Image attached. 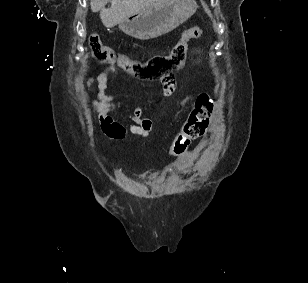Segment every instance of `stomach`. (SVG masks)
<instances>
[{"label":"stomach","mask_w":308,"mask_h":283,"mask_svg":"<svg viewBox=\"0 0 308 283\" xmlns=\"http://www.w3.org/2000/svg\"><path fill=\"white\" fill-rule=\"evenodd\" d=\"M196 9L195 0H161L124 18L118 26L131 37L153 39L174 30L190 18Z\"/></svg>","instance_id":"1"}]
</instances>
